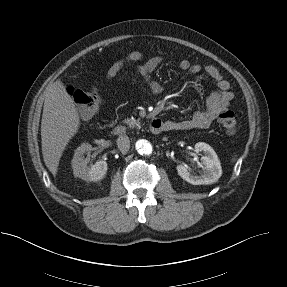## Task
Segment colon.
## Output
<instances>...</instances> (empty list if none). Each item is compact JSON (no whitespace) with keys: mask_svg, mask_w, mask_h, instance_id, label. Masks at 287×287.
Wrapping results in <instances>:
<instances>
[{"mask_svg":"<svg viewBox=\"0 0 287 287\" xmlns=\"http://www.w3.org/2000/svg\"><path fill=\"white\" fill-rule=\"evenodd\" d=\"M70 95L77 104L82 117L89 118L95 114L99 106V95L95 89L88 91L71 89ZM220 125L225 132L233 135L237 130V117L231 110H224L218 116Z\"/></svg>","mask_w":287,"mask_h":287,"instance_id":"obj_1","label":"colon"}]
</instances>
